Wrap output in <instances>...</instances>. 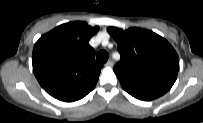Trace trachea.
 <instances>
[{
  "label": "trachea",
  "instance_id": "obj_1",
  "mask_svg": "<svg viewBox=\"0 0 203 123\" xmlns=\"http://www.w3.org/2000/svg\"><path fill=\"white\" fill-rule=\"evenodd\" d=\"M97 60L101 63H105L108 60V53L104 50H101L97 53Z\"/></svg>",
  "mask_w": 203,
  "mask_h": 123
}]
</instances>
